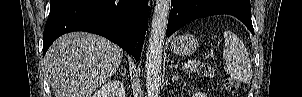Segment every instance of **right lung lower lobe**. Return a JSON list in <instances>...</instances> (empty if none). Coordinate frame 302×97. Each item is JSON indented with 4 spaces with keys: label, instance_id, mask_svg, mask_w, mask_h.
Instances as JSON below:
<instances>
[{
    "label": "right lung lower lobe",
    "instance_id": "obj_1",
    "mask_svg": "<svg viewBox=\"0 0 302 97\" xmlns=\"http://www.w3.org/2000/svg\"><path fill=\"white\" fill-rule=\"evenodd\" d=\"M147 21V0H51L43 55L59 36L87 31L106 37L138 61Z\"/></svg>",
    "mask_w": 302,
    "mask_h": 97
}]
</instances>
